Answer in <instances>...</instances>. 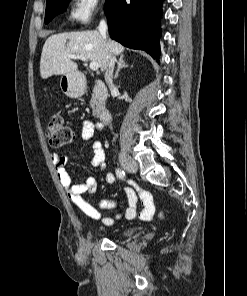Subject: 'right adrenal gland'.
Returning a JSON list of instances; mask_svg holds the SVG:
<instances>
[{"mask_svg":"<svg viewBox=\"0 0 247 296\" xmlns=\"http://www.w3.org/2000/svg\"><path fill=\"white\" fill-rule=\"evenodd\" d=\"M126 67H128V65L124 61V55H120L119 61H118V68H117L116 73L114 75V79H117L118 78V75H119V71L122 68H126Z\"/></svg>","mask_w":247,"mask_h":296,"instance_id":"1","label":"right adrenal gland"}]
</instances>
